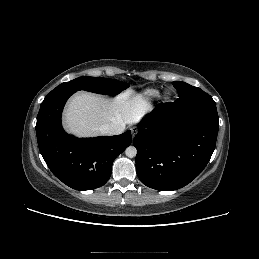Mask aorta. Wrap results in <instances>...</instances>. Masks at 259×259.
Instances as JSON below:
<instances>
[{
  "label": "aorta",
  "mask_w": 259,
  "mask_h": 259,
  "mask_svg": "<svg viewBox=\"0 0 259 259\" xmlns=\"http://www.w3.org/2000/svg\"><path fill=\"white\" fill-rule=\"evenodd\" d=\"M125 154L127 157L133 158L137 154V149L134 146H129L126 148Z\"/></svg>",
  "instance_id": "762f6f07"
}]
</instances>
